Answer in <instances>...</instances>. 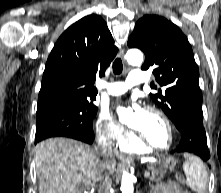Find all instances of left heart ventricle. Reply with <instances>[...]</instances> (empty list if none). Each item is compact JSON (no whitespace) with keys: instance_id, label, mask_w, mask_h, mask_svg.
Instances as JSON below:
<instances>
[{"instance_id":"left-heart-ventricle-1","label":"left heart ventricle","mask_w":221,"mask_h":193,"mask_svg":"<svg viewBox=\"0 0 221 193\" xmlns=\"http://www.w3.org/2000/svg\"><path fill=\"white\" fill-rule=\"evenodd\" d=\"M129 125L156 146L165 147L169 143V133L164 121L153 112L144 111L140 117L133 115Z\"/></svg>"}]
</instances>
